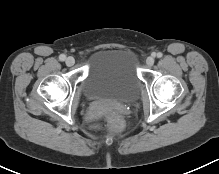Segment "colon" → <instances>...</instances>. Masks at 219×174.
Here are the masks:
<instances>
[{
  "label": "colon",
  "instance_id": "obj_1",
  "mask_svg": "<svg viewBox=\"0 0 219 174\" xmlns=\"http://www.w3.org/2000/svg\"><path fill=\"white\" fill-rule=\"evenodd\" d=\"M108 126L111 130L117 131L122 128L123 122L116 112H109L107 115Z\"/></svg>",
  "mask_w": 219,
  "mask_h": 174
}]
</instances>
